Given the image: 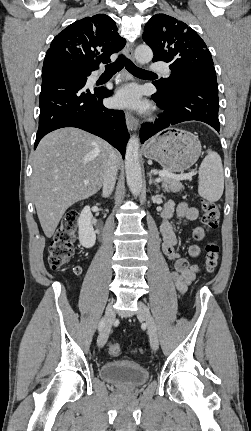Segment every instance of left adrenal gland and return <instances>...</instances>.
<instances>
[{"label": "left adrenal gland", "instance_id": "left-adrenal-gland-1", "mask_svg": "<svg viewBox=\"0 0 251 431\" xmlns=\"http://www.w3.org/2000/svg\"><path fill=\"white\" fill-rule=\"evenodd\" d=\"M148 177H149V185L154 184L157 187V189L159 190L160 187H159L158 183L153 179L151 171L148 173Z\"/></svg>", "mask_w": 251, "mask_h": 431}]
</instances>
